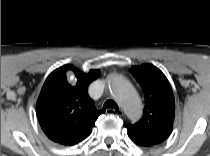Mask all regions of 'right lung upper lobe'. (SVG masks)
Returning <instances> with one entry per match:
<instances>
[{"instance_id": "obj_1", "label": "right lung upper lobe", "mask_w": 210, "mask_h": 156, "mask_svg": "<svg viewBox=\"0 0 210 156\" xmlns=\"http://www.w3.org/2000/svg\"><path fill=\"white\" fill-rule=\"evenodd\" d=\"M72 69L76 84L68 82L66 71ZM99 70L83 73L72 65L54 70L40 92L36 112L41 128L49 139L62 145H74L92 132L98 116L94 101L87 95L88 85L99 77Z\"/></svg>"}]
</instances>
